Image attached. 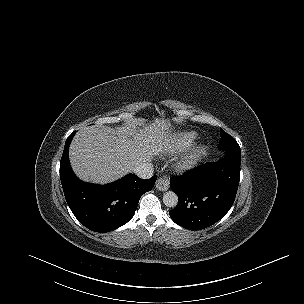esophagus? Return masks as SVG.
Masks as SVG:
<instances>
[{
    "label": "esophagus",
    "mask_w": 304,
    "mask_h": 304,
    "mask_svg": "<svg viewBox=\"0 0 304 304\" xmlns=\"http://www.w3.org/2000/svg\"><path fill=\"white\" fill-rule=\"evenodd\" d=\"M155 188L159 191H167L169 188V182L165 178H158L155 183Z\"/></svg>",
    "instance_id": "1"
}]
</instances>
